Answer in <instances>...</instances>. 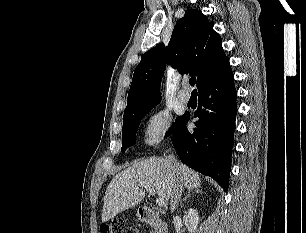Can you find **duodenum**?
Instances as JSON below:
<instances>
[{
    "instance_id": "duodenum-1",
    "label": "duodenum",
    "mask_w": 306,
    "mask_h": 233,
    "mask_svg": "<svg viewBox=\"0 0 306 233\" xmlns=\"http://www.w3.org/2000/svg\"><path fill=\"white\" fill-rule=\"evenodd\" d=\"M139 214L141 220L148 225H154L156 227L157 233H169V229L167 224L160 219L157 213L149 208V207H142L139 210Z\"/></svg>"
}]
</instances>
